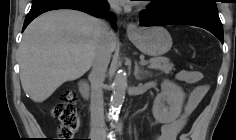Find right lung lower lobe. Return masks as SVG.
I'll return each instance as SVG.
<instances>
[{
    "instance_id": "obj_1",
    "label": "right lung lower lobe",
    "mask_w": 236,
    "mask_h": 140,
    "mask_svg": "<svg viewBox=\"0 0 236 140\" xmlns=\"http://www.w3.org/2000/svg\"><path fill=\"white\" fill-rule=\"evenodd\" d=\"M108 8L109 6L105 0H102L101 4H93L89 0H38L32 4L31 10L25 18L23 30L40 14L55 9H76L95 17L108 16L111 20H114L113 16L105 13Z\"/></svg>"
}]
</instances>
